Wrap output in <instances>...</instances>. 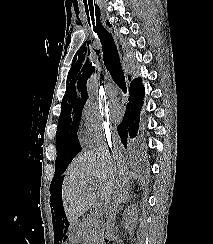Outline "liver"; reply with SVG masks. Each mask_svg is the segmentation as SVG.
I'll return each mask as SVG.
<instances>
[{"label": "liver", "instance_id": "liver-1", "mask_svg": "<svg viewBox=\"0 0 213 244\" xmlns=\"http://www.w3.org/2000/svg\"><path fill=\"white\" fill-rule=\"evenodd\" d=\"M62 185V201L65 214L70 223H77L96 201L91 187L100 182V197L105 200L118 187L128 182L127 167L121 151L110 153L105 146L81 153L65 171Z\"/></svg>", "mask_w": 213, "mask_h": 244}]
</instances>
